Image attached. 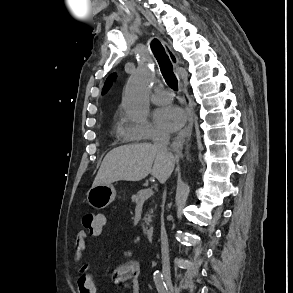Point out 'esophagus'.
Listing matches in <instances>:
<instances>
[{
  "instance_id": "obj_1",
  "label": "esophagus",
  "mask_w": 293,
  "mask_h": 293,
  "mask_svg": "<svg viewBox=\"0 0 293 293\" xmlns=\"http://www.w3.org/2000/svg\"><path fill=\"white\" fill-rule=\"evenodd\" d=\"M163 45H164V47L166 49V52H167V54L169 56L170 61L172 62V64L175 67H177L178 66V62H179L177 56L172 51V49L168 46L167 43L164 42ZM192 125H193V113H192L191 109L188 108V124H187V126L183 130H181L177 134L176 139L177 140L183 139L188 134V132L192 129Z\"/></svg>"
}]
</instances>
